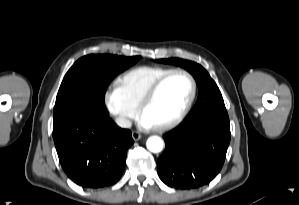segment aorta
Returning <instances> with one entry per match:
<instances>
[{"label":"aorta","instance_id":"1","mask_svg":"<svg viewBox=\"0 0 299 205\" xmlns=\"http://www.w3.org/2000/svg\"><path fill=\"white\" fill-rule=\"evenodd\" d=\"M163 140L158 136H152L148 138L146 146L149 151L153 153H158L163 149Z\"/></svg>","mask_w":299,"mask_h":205}]
</instances>
